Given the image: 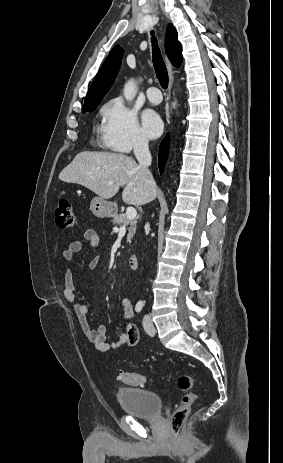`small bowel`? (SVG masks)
I'll use <instances>...</instances> for the list:
<instances>
[{
  "label": "small bowel",
  "instance_id": "c3829d8e",
  "mask_svg": "<svg viewBox=\"0 0 283 463\" xmlns=\"http://www.w3.org/2000/svg\"><path fill=\"white\" fill-rule=\"evenodd\" d=\"M99 242L98 232L94 229L85 231L83 238L69 243L67 248L63 251V257L67 261L74 259L76 253L83 249L85 244L96 246ZM99 263V257H95L88 262L89 268H95ZM64 296L67 302L72 306L81 329L93 345V347L100 352H107L121 346L133 347L137 345L139 340L138 331L132 322L134 316L133 306L131 301L124 296L118 298L119 307L126 319L123 324V333L119 336L117 341L108 342L106 339V328L104 325L92 327L87 320L88 306L79 300L75 293L74 287V274L72 270L68 269L64 273Z\"/></svg>",
  "mask_w": 283,
  "mask_h": 463
}]
</instances>
